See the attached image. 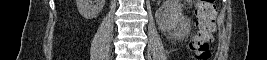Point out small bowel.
<instances>
[{"instance_id":"small-bowel-1","label":"small bowel","mask_w":267,"mask_h":60,"mask_svg":"<svg viewBox=\"0 0 267 60\" xmlns=\"http://www.w3.org/2000/svg\"><path fill=\"white\" fill-rule=\"evenodd\" d=\"M210 38L212 39V33H211V35H210ZM211 39H210V42H211Z\"/></svg>"}]
</instances>
